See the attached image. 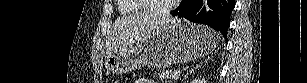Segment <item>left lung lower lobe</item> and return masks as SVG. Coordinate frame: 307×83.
<instances>
[{
  "instance_id": "obj_1",
  "label": "left lung lower lobe",
  "mask_w": 307,
  "mask_h": 83,
  "mask_svg": "<svg viewBox=\"0 0 307 83\" xmlns=\"http://www.w3.org/2000/svg\"><path fill=\"white\" fill-rule=\"evenodd\" d=\"M234 7V0H182L172 15L208 25L220 31L226 39Z\"/></svg>"
}]
</instances>
